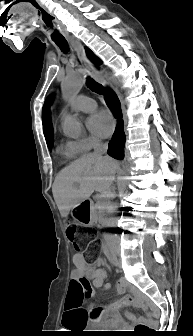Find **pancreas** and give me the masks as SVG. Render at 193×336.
<instances>
[{"instance_id": "obj_1", "label": "pancreas", "mask_w": 193, "mask_h": 336, "mask_svg": "<svg viewBox=\"0 0 193 336\" xmlns=\"http://www.w3.org/2000/svg\"><path fill=\"white\" fill-rule=\"evenodd\" d=\"M94 219L97 222L98 225L104 226L106 224V221L104 219V209H101L98 204L94 205Z\"/></svg>"}]
</instances>
